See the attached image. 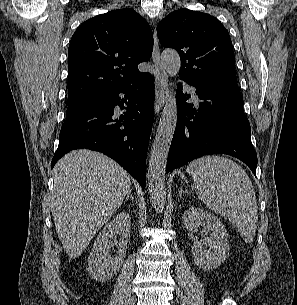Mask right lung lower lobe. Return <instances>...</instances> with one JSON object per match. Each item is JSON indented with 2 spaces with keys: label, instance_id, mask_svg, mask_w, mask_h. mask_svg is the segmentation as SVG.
I'll list each match as a JSON object with an SVG mask.
<instances>
[{
  "label": "right lung lower lobe",
  "instance_id": "obj_1",
  "mask_svg": "<svg viewBox=\"0 0 297 305\" xmlns=\"http://www.w3.org/2000/svg\"><path fill=\"white\" fill-rule=\"evenodd\" d=\"M120 93L125 99L119 96ZM116 106L126 111L119 115ZM153 111L154 81L148 73L110 90L98 103L66 118L51 168L71 150L92 149L118 162L144 189Z\"/></svg>",
  "mask_w": 297,
  "mask_h": 305
}]
</instances>
